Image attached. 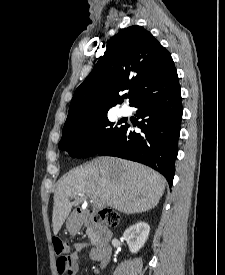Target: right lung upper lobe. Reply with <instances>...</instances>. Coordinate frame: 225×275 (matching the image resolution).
<instances>
[{
	"mask_svg": "<svg viewBox=\"0 0 225 275\" xmlns=\"http://www.w3.org/2000/svg\"><path fill=\"white\" fill-rule=\"evenodd\" d=\"M178 80L170 53L141 26L122 29L105 55L76 89L64 127L107 112L122 103L120 91L130 89V105Z\"/></svg>",
	"mask_w": 225,
	"mask_h": 275,
	"instance_id": "right-lung-upper-lobe-1",
	"label": "right lung upper lobe"
}]
</instances>
